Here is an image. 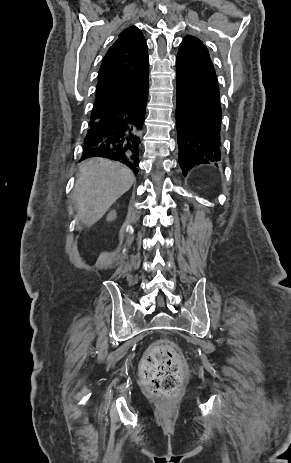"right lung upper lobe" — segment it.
<instances>
[{
  "instance_id": "cb5924a9",
  "label": "right lung upper lobe",
  "mask_w": 291,
  "mask_h": 463,
  "mask_svg": "<svg viewBox=\"0 0 291 463\" xmlns=\"http://www.w3.org/2000/svg\"><path fill=\"white\" fill-rule=\"evenodd\" d=\"M142 32L135 26L123 30L103 58L90 122L105 117L147 83L149 59Z\"/></svg>"
}]
</instances>
